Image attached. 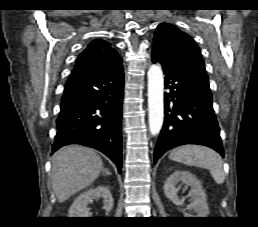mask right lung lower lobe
Segmentation results:
<instances>
[{"instance_id":"1","label":"right lung lower lobe","mask_w":258,"mask_h":227,"mask_svg":"<svg viewBox=\"0 0 258 227\" xmlns=\"http://www.w3.org/2000/svg\"><path fill=\"white\" fill-rule=\"evenodd\" d=\"M124 73L114 56L89 72L72 74L61 99L52 153L69 144L95 148L121 172Z\"/></svg>"}]
</instances>
